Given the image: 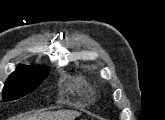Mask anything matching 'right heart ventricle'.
Listing matches in <instances>:
<instances>
[{"label":"right heart ventricle","instance_id":"obj_1","mask_svg":"<svg viewBox=\"0 0 165 120\" xmlns=\"http://www.w3.org/2000/svg\"><path fill=\"white\" fill-rule=\"evenodd\" d=\"M82 81L81 80H77L75 83H74V85H73V88H75V89H78V88H80L81 86H82Z\"/></svg>","mask_w":165,"mask_h":120}]
</instances>
